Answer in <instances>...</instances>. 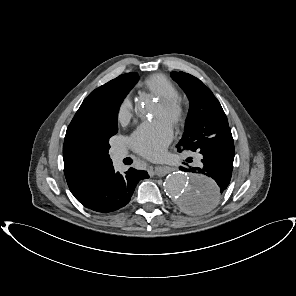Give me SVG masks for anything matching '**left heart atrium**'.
I'll use <instances>...</instances> for the list:
<instances>
[{
  "label": "left heart atrium",
  "mask_w": 296,
  "mask_h": 296,
  "mask_svg": "<svg viewBox=\"0 0 296 296\" xmlns=\"http://www.w3.org/2000/svg\"><path fill=\"white\" fill-rule=\"evenodd\" d=\"M173 129L169 121L159 118L137 127L130 137L132 148L139 154L154 158L171 142Z\"/></svg>",
  "instance_id": "1"
}]
</instances>
